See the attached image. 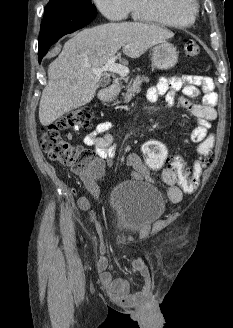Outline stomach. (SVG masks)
<instances>
[{"label":"stomach","instance_id":"obj_1","mask_svg":"<svg viewBox=\"0 0 233 328\" xmlns=\"http://www.w3.org/2000/svg\"><path fill=\"white\" fill-rule=\"evenodd\" d=\"M151 62L157 69H170L178 62V52L173 44L164 40L153 47L151 51Z\"/></svg>","mask_w":233,"mask_h":328}]
</instances>
